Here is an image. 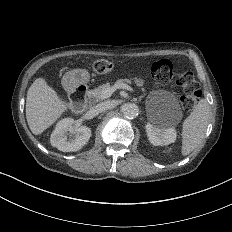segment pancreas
Segmentation results:
<instances>
[{
  "mask_svg": "<svg viewBox=\"0 0 232 232\" xmlns=\"http://www.w3.org/2000/svg\"><path fill=\"white\" fill-rule=\"evenodd\" d=\"M121 83H128L130 84L131 83V80L130 79H118L115 84H121ZM111 88V85L110 83H106V84H103V85H100L99 87L93 89V90H90L88 92V95L94 99L96 102H100L102 100H104L103 98V91L106 90V89H109Z\"/></svg>",
  "mask_w": 232,
  "mask_h": 232,
  "instance_id": "pancreas-1",
  "label": "pancreas"
}]
</instances>
